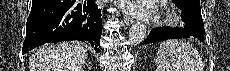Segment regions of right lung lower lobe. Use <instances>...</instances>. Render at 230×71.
Wrapping results in <instances>:
<instances>
[{"label": "right lung lower lobe", "mask_w": 230, "mask_h": 71, "mask_svg": "<svg viewBox=\"0 0 230 71\" xmlns=\"http://www.w3.org/2000/svg\"><path fill=\"white\" fill-rule=\"evenodd\" d=\"M101 11L95 0H32L22 53L47 42L80 40L100 49Z\"/></svg>", "instance_id": "98d812e1"}]
</instances>
